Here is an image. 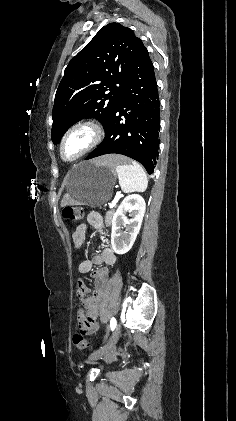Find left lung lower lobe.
I'll return each instance as SVG.
<instances>
[{"label": "left lung lower lobe", "instance_id": "obj_1", "mask_svg": "<svg viewBox=\"0 0 236 421\" xmlns=\"http://www.w3.org/2000/svg\"><path fill=\"white\" fill-rule=\"evenodd\" d=\"M103 142L86 160L104 154H122L140 162L148 174L158 159L160 102L154 67L142 45L109 120Z\"/></svg>", "mask_w": 236, "mask_h": 421}]
</instances>
